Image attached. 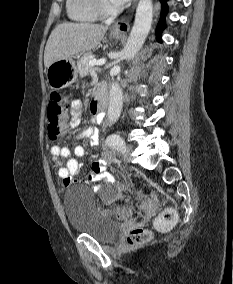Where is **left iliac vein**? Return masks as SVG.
<instances>
[{
	"label": "left iliac vein",
	"instance_id": "1",
	"mask_svg": "<svg viewBox=\"0 0 233 284\" xmlns=\"http://www.w3.org/2000/svg\"><path fill=\"white\" fill-rule=\"evenodd\" d=\"M132 151V148L130 146H126L122 150V157L125 161H130V153Z\"/></svg>",
	"mask_w": 233,
	"mask_h": 284
}]
</instances>
